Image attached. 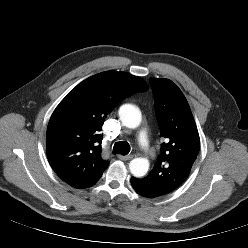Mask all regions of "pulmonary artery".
<instances>
[{
  "label": "pulmonary artery",
  "mask_w": 248,
  "mask_h": 248,
  "mask_svg": "<svg viewBox=\"0 0 248 248\" xmlns=\"http://www.w3.org/2000/svg\"><path fill=\"white\" fill-rule=\"evenodd\" d=\"M138 143L141 147H145L148 145V133L146 130H140L138 133Z\"/></svg>",
  "instance_id": "e3ab8cb5"
}]
</instances>
